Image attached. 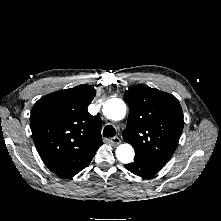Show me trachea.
<instances>
[{"mask_svg":"<svg viewBox=\"0 0 221 221\" xmlns=\"http://www.w3.org/2000/svg\"><path fill=\"white\" fill-rule=\"evenodd\" d=\"M116 135V130L112 125H106L103 130V136L110 138Z\"/></svg>","mask_w":221,"mask_h":221,"instance_id":"obj_1","label":"trachea"}]
</instances>
